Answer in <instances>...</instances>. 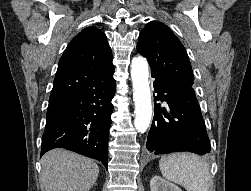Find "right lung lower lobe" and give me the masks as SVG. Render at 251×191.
Instances as JSON below:
<instances>
[{"instance_id": "obj_1", "label": "right lung lower lobe", "mask_w": 251, "mask_h": 191, "mask_svg": "<svg viewBox=\"0 0 251 191\" xmlns=\"http://www.w3.org/2000/svg\"><path fill=\"white\" fill-rule=\"evenodd\" d=\"M116 83L110 78L66 100L50 104L41 156L65 148L102 162L107 168L108 138Z\"/></svg>"}]
</instances>
